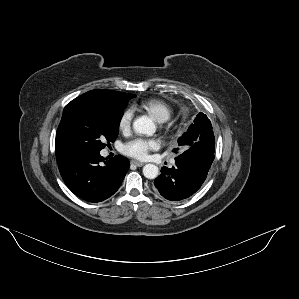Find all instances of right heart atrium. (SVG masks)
I'll list each match as a JSON object with an SVG mask.
<instances>
[{"label":"right heart atrium","mask_w":299,"mask_h":299,"mask_svg":"<svg viewBox=\"0 0 299 299\" xmlns=\"http://www.w3.org/2000/svg\"><path fill=\"white\" fill-rule=\"evenodd\" d=\"M133 119V110L131 108H126L121 113L119 119H118V130L122 133H125L129 131L131 127Z\"/></svg>","instance_id":"obj_1"}]
</instances>
